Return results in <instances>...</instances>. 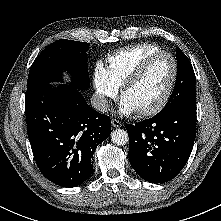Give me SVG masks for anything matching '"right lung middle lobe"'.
<instances>
[{
	"label": "right lung middle lobe",
	"instance_id": "right-lung-middle-lobe-1",
	"mask_svg": "<svg viewBox=\"0 0 221 221\" xmlns=\"http://www.w3.org/2000/svg\"><path fill=\"white\" fill-rule=\"evenodd\" d=\"M89 43L61 39L45 48L30 67L26 96L41 86L61 81L63 71L72 75V85L87 89L90 86L87 50Z\"/></svg>",
	"mask_w": 221,
	"mask_h": 221
}]
</instances>
